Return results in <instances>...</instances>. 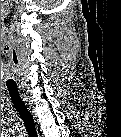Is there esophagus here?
Returning <instances> with one entry per match:
<instances>
[{
  "label": "esophagus",
  "mask_w": 121,
  "mask_h": 137,
  "mask_svg": "<svg viewBox=\"0 0 121 137\" xmlns=\"http://www.w3.org/2000/svg\"><path fill=\"white\" fill-rule=\"evenodd\" d=\"M22 97H24V100H25L26 102H28V98H27L25 95L22 94ZM28 104H29V103H28Z\"/></svg>",
  "instance_id": "1"
}]
</instances>
